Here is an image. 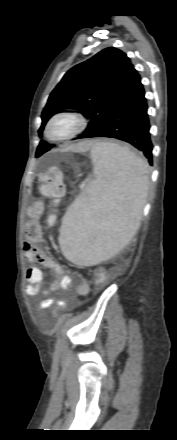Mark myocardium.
Listing matches in <instances>:
<instances>
[{
	"instance_id": "obj_1",
	"label": "myocardium",
	"mask_w": 177,
	"mask_h": 440,
	"mask_svg": "<svg viewBox=\"0 0 177 440\" xmlns=\"http://www.w3.org/2000/svg\"><path fill=\"white\" fill-rule=\"evenodd\" d=\"M60 120L69 121L70 127L60 134H54L53 127ZM86 127L87 120L81 114L73 111H60L48 119L44 127V136L53 142L67 141L81 135Z\"/></svg>"
}]
</instances>
